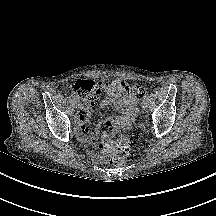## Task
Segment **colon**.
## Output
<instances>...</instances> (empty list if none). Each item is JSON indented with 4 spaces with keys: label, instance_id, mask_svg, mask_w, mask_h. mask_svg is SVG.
<instances>
[{
    "label": "colon",
    "instance_id": "colon-1",
    "mask_svg": "<svg viewBox=\"0 0 216 216\" xmlns=\"http://www.w3.org/2000/svg\"><path fill=\"white\" fill-rule=\"evenodd\" d=\"M71 91L83 101L93 102L101 93L100 84L92 80H78L70 87ZM131 95L135 99H142L146 94L143 86L135 85L130 87ZM112 131L109 123L102 125L99 134L107 137ZM135 138L130 135H119L112 139H105L101 145L104 153L110 157V163L114 166H120L129 162L133 158V149Z\"/></svg>",
    "mask_w": 216,
    "mask_h": 216
}]
</instances>
